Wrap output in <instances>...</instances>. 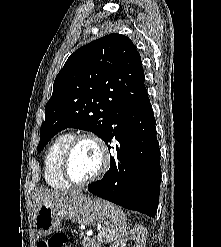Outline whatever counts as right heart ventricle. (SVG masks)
<instances>
[{
  "label": "right heart ventricle",
  "mask_w": 221,
  "mask_h": 247,
  "mask_svg": "<svg viewBox=\"0 0 221 247\" xmlns=\"http://www.w3.org/2000/svg\"><path fill=\"white\" fill-rule=\"evenodd\" d=\"M73 136L70 133L59 135L49 146L45 156V179L48 185L55 189L64 190L71 185L61 174L63 154Z\"/></svg>",
  "instance_id": "e07e8e85"
}]
</instances>
